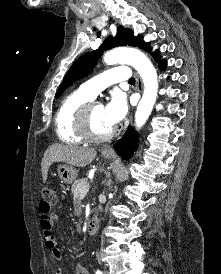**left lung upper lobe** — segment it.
<instances>
[{
  "label": "left lung upper lobe",
  "mask_w": 221,
  "mask_h": 274,
  "mask_svg": "<svg viewBox=\"0 0 221 274\" xmlns=\"http://www.w3.org/2000/svg\"><path fill=\"white\" fill-rule=\"evenodd\" d=\"M149 45L150 43L145 42L142 36H134V33L131 29H125L123 26H119L115 38L109 36L99 47L96 54H85L72 65L62 81L56 97L60 96L62 92L73 82L87 76L95 67L98 57L103 53L104 50L117 46H134L150 52L151 48Z\"/></svg>",
  "instance_id": "left-lung-upper-lobe-1"
}]
</instances>
